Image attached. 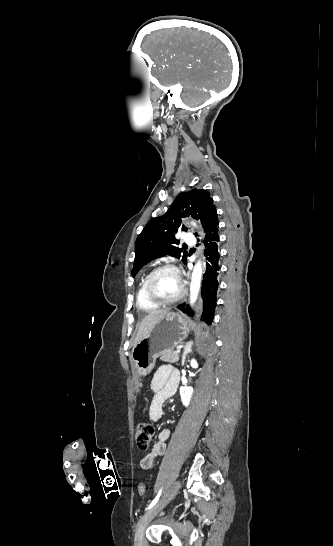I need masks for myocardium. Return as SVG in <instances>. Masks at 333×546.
Returning a JSON list of instances; mask_svg holds the SVG:
<instances>
[{
	"mask_svg": "<svg viewBox=\"0 0 333 546\" xmlns=\"http://www.w3.org/2000/svg\"><path fill=\"white\" fill-rule=\"evenodd\" d=\"M164 270H172L174 272H176L179 277H180V271L178 269L177 266L173 265V264H163V265H160L158 267H156L154 270H152L149 275L147 276V279H146V282H145V293H146V296L147 298L153 302L154 304H157L159 306H162V305H171V304H174L176 302H178L179 300H181L185 293H186V287H185V284L184 282L182 281L181 279V291L180 293L174 297V298H171V299H161L160 297H158L152 290V281L154 279V277L161 271H164Z\"/></svg>",
	"mask_w": 333,
	"mask_h": 546,
	"instance_id": "f54148a6",
	"label": "myocardium"
}]
</instances>
